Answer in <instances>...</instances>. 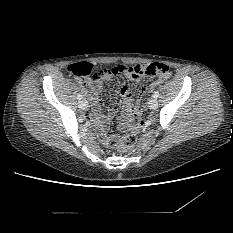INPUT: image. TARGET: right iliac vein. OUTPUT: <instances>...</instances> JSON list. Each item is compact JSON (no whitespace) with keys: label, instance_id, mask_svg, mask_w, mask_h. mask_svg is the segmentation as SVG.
I'll return each mask as SVG.
<instances>
[{"label":"right iliac vein","instance_id":"1","mask_svg":"<svg viewBox=\"0 0 233 233\" xmlns=\"http://www.w3.org/2000/svg\"><path fill=\"white\" fill-rule=\"evenodd\" d=\"M79 107L83 110L87 109L88 107V102L86 99H82L80 102H79Z\"/></svg>","mask_w":233,"mask_h":233}]
</instances>
